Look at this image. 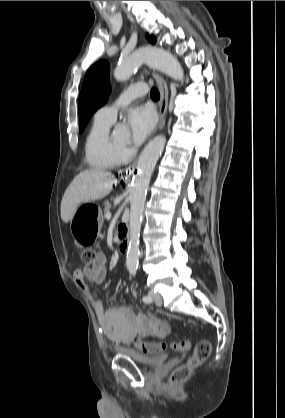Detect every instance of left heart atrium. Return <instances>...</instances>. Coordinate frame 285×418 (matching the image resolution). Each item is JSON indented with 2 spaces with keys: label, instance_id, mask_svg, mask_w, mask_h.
<instances>
[{
  "label": "left heart atrium",
  "instance_id": "left-heart-atrium-1",
  "mask_svg": "<svg viewBox=\"0 0 285 418\" xmlns=\"http://www.w3.org/2000/svg\"><path fill=\"white\" fill-rule=\"evenodd\" d=\"M131 141L134 144L142 143L153 131L156 125V115L152 108L140 106L133 108L127 115Z\"/></svg>",
  "mask_w": 285,
  "mask_h": 418
}]
</instances>
